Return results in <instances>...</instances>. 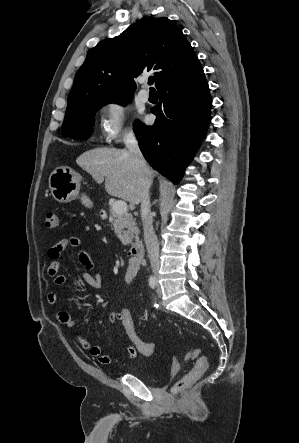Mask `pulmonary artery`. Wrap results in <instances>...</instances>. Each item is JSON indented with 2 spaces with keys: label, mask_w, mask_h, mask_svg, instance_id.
Wrapping results in <instances>:
<instances>
[{
  "label": "pulmonary artery",
  "mask_w": 299,
  "mask_h": 443,
  "mask_svg": "<svg viewBox=\"0 0 299 443\" xmlns=\"http://www.w3.org/2000/svg\"><path fill=\"white\" fill-rule=\"evenodd\" d=\"M141 83H142L143 85H145V84H146V80H145V79H142V80H141ZM138 97H139V99H140L142 102H147L148 99H149V93H148V91H146V90L143 89V90H141V91L139 92Z\"/></svg>",
  "instance_id": "e3ab8cb5"
}]
</instances>
